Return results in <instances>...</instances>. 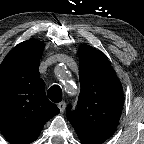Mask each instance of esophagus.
Returning a JSON list of instances; mask_svg holds the SVG:
<instances>
[{
	"mask_svg": "<svg viewBox=\"0 0 144 144\" xmlns=\"http://www.w3.org/2000/svg\"><path fill=\"white\" fill-rule=\"evenodd\" d=\"M58 108L60 109V112L63 113L66 108V103L64 101L60 102Z\"/></svg>",
	"mask_w": 144,
	"mask_h": 144,
	"instance_id": "obj_1",
	"label": "esophagus"
}]
</instances>
